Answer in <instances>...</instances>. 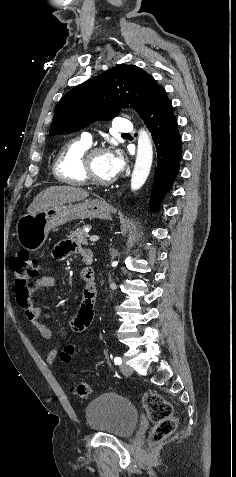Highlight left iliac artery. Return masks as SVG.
<instances>
[{"label": "left iliac artery", "instance_id": "44dca946", "mask_svg": "<svg viewBox=\"0 0 236 477\" xmlns=\"http://www.w3.org/2000/svg\"><path fill=\"white\" fill-rule=\"evenodd\" d=\"M114 363H115L116 365H120V364H122V359H121L120 357H115Z\"/></svg>", "mask_w": 236, "mask_h": 477}]
</instances>
